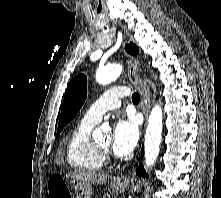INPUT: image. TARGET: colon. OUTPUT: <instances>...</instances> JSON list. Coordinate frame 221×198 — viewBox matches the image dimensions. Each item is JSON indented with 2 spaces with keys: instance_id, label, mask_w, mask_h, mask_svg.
Wrapping results in <instances>:
<instances>
[{
  "instance_id": "1",
  "label": "colon",
  "mask_w": 221,
  "mask_h": 198,
  "mask_svg": "<svg viewBox=\"0 0 221 198\" xmlns=\"http://www.w3.org/2000/svg\"><path fill=\"white\" fill-rule=\"evenodd\" d=\"M49 198H71L70 191L60 176H53L48 182Z\"/></svg>"
}]
</instances>
